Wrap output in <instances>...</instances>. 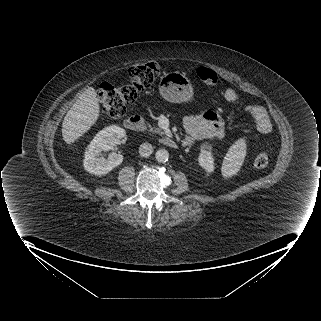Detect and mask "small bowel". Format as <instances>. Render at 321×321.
<instances>
[{
  "label": "small bowel",
  "instance_id": "small-bowel-1",
  "mask_svg": "<svg viewBox=\"0 0 321 321\" xmlns=\"http://www.w3.org/2000/svg\"><path fill=\"white\" fill-rule=\"evenodd\" d=\"M224 98L228 102L239 103L243 101V96L233 88L224 91ZM244 114L249 117L258 132L268 133L272 129L270 117L265 108L245 103ZM186 136L184 144L188 147L195 145L197 141H216L224 138V123L220 115L214 111H207L202 115H191L183 121Z\"/></svg>",
  "mask_w": 321,
  "mask_h": 321
}]
</instances>
